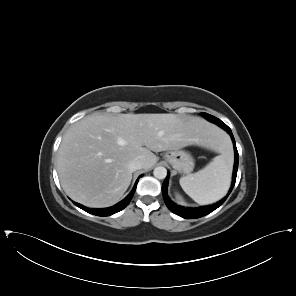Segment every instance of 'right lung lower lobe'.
I'll list each match as a JSON object with an SVG mask.
<instances>
[{
    "label": "right lung lower lobe",
    "mask_w": 296,
    "mask_h": 296,
    "mask_svg": "<svg viewBox=\"0 0 296 296\" xmlns=\"http://www.w3.org/2000/svg\"><path fill=\"white\" fill-rule=\"evenodd\" d=\"M140 177L141 176H139V178ZM139 178L137 179L135 186L132 189V191L130 192V194L125 199H123L121 202H119L118 204H116L112 207L102 208V209H90V208L84 207V206H82L78 203H75V202H74V204L76 206H78L79 208H81L82 210H84L90 214L97 215V216H109V215L115 214V213L121 211L122 209H124L129 204V202L132 199L133 194L136 190V186H137Z\"/></svg>",
    "instance_id": "98d812e1"
}]
</instances>
